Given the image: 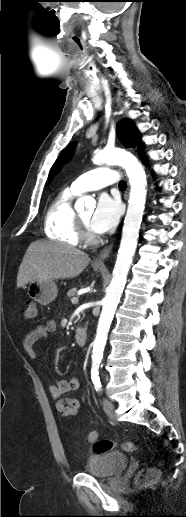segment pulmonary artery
Listing matches in <instances>:
<instances>
[{
  "mask_svg": "<svg viewBox=\"0 0 186 517\" xmlns=\"http://www.w3.org/2000/svg\"><path fill=\"white\" fill-rule=\"evenodd\" d=\"M118 183L117 172L108 167L90 170L75 179L71 188L77 193L91 190H99L109 185Z\"/></svg>",
  "mask_w": 186,
  "mask_h": 517,
  "instance_id": "1",
  "label": "pulmonary artery"
}]
</instances>
